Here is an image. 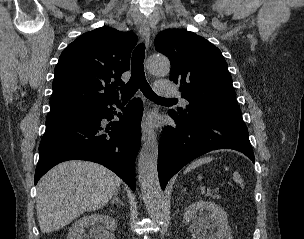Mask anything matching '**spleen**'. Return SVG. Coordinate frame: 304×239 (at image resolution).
Returning <instances> with one entry per match:
<instances>
[{
  "label": "spleen",
  "instance_id": "1",
  "mask_svg": "<svg viewBox=\"0 0 304 239\" xmlns=\"http://www.w3.org/2000/svg\"><path fill=\"white\" fill-rule=\"evenodd\" d=\"M213 159L211 157H203V158H199L195 161H193L191 164L188 165V167L185 169V172H190L191 170L197 168L198 166L202 165V164H206L211 162ZM226 170H228L227 167H225ZM233 178L235 180V182H237L238 184H240L241 187H244L243 185V180L240 177L239 173L235 172L233 174Z\"/></svg>",
  "mask_w": 304,
  "mask_h": 239
}]
</instances>
